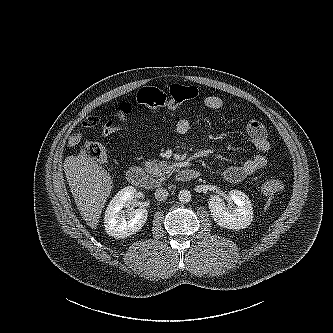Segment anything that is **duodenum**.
I'll return each instance as SVG.
<instances>
[{"instance_id":"duodenum-1","label":"duodenum","mask_w":333,"mask_h":333,"mask_svg":"<svg viewBox=\"0 0 333 333\" xmlns=\"http://www.w3.org/2000/svg\"><path fill=\"white\" fill-rule=\"evenodd\" d=\"M200 176L199 171L193 168L182 169L178 173V179L182 182H189L197 179ZM127 179L134 186L144 188H156L160 186V182L150 176L144 169L138 166H133L127 171Z\"/></svg>"}]
</instances>
